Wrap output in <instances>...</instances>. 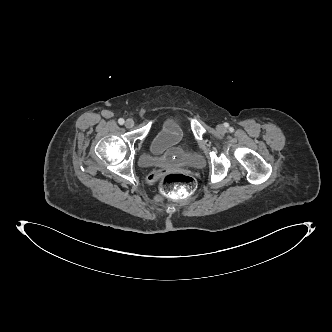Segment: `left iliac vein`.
I'll use <instances>...</instances> for the list:
<instances>
[{
    "instance_id": "obj_1",
    "label": "left iliac vein",
    "mask_w": 332,
    "mask_h": 332,
    "mask_svg": "<svg viewBox=\"0 0 332 332\" xmlns=\"http://www.w3.org/2000/svg\"><path fill=\"white\" fill-rule=\"evenodd\" d=\"M216 129L220 133H224L226 131V128L222 124L217 125Z\"/></svg>"
}]
</instances>
